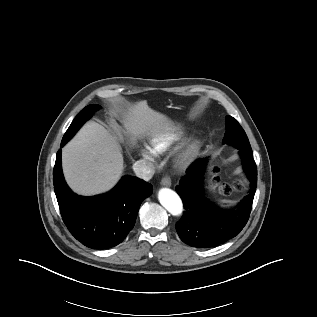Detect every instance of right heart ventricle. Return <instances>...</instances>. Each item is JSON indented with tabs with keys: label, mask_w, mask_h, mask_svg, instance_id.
I'll use <instances>...</instances> for the list:
<instances>
[{
	"label": "right heart ventricle",
	"mask_w": 317,
	"mask_h": 317,
	"mask_svg": "<svg viewBox=\"0 0 317 317\" xmlns=\"http://www.w3.org/2000/svg\"><path fill=\"white\" fill-rule=\"evenodd\" d=\"M179 139L180 135L176 131H164L150 139V148L153 153L161 154L170 149Z\"/></svg>",
	"instance_id": "obj_1"
}]
</instances>
